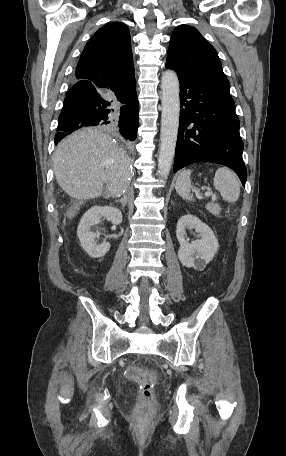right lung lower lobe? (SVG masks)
<instances>
[{
    "label": "right lung lower lobe",
    "instance_id": "right-lung-lower-lobe-1",
    "mask_svg": "<svg viewBox=\"0 0 286 456\" xmlns=\"http://www.w3.org/2000/svg\"><path fill=\"white\" fill-rule=\"evenodd\" d=\"M135 78L101 84L76 77L58 119L55 144L84 126H101L130 145L136 138L139 106Z\"/></svg>",
    "mask_w": 286,
    "mask_h": 456
}]
</instances>
